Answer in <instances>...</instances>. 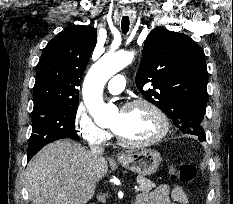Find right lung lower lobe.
I'll return each instance as SVG.
<instances>
[{"mask_svg":"<svg viewBox=\"0 0 233 204\" xmlns=\"http://www.w3.org/2000/svg\"><path fill=\"white\" fill-rule=\"evenodd\" d=\"M39 150H40V149H39ZM39 150L28 149L27 160L30 161V159H31Z\"/></svg>","mask_w":233,"mask_h":204,"instance_id":"1","label":"right lung lower lobe"}]
</instances>
